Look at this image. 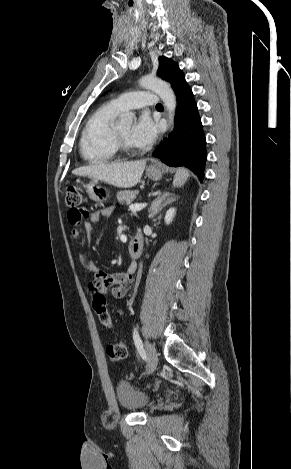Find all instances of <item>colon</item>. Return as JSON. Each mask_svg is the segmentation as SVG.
Here are the masks:
<instances>
[{"label":"colon","instance_id":"colon-1","mask_svg":"<svg viewBox=\"0 0 291 469\" xmlns=\"http://www.w3.org/2000/svg\"><path fill=\"white\" fill-rule=\"evenodd\" d=\"M66 204L70 211H75L78 216H83L87 213L86 210L81 208L82 195L76 187H69L66 191ZM109 295L107 293H96L93 300V308L99 317L100 323L107 329L113 328L111 316L107 310V301ZM107 355L115 361H120L126 358L128 350L124 342L118 340L111 343L106 348Z\"/></svg>","mask_w":291,"mask_h":469}]
</instances>
